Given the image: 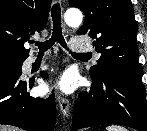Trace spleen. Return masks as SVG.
Listing matches in <instances>:
<instances>
[{
	"label": "spleen",
	"mask_w": 147,
	"mask_h": 131,
	"mask_svg": "<svg viewBox=\"0 0 147 131\" xmlns=\"http://www.w3.org/2000/svg\"><path fill=\"white\" fill-rule=\"evenodd\" d=\"M107 131H127L123 126L110 125L106 127Z\"/></svg>",
	"instance_id": "3e777b00"
}]
</instances>
